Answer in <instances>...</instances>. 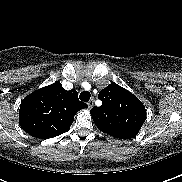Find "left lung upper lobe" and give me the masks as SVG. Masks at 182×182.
I'll return each instance as SVG.
<instances>
[{
    "label": "left lung upper lobe",
    "mask_w": 182,
    "mask_h": 182,
    "mask_svg": "<svg viewBox=\"0 0 182 182\" xmlns=\"http://www.w3.org/2000/svg\"><path fill=\"white\" fill-rule=\"evenodd\" d=\"M100 107L90 113L97 128L113 137H135L146 119L143 103L131 92L112 83L99 92Z\"/></svg>",
    "instance_id": "1"
}]
</instances>
